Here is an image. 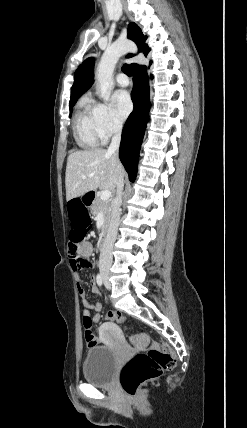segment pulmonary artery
<instances>
[{"label":"pulmonary artery","mask_w":247,"mask_h":428,"mask_svg":"<svg viewBox=\"0 0 247 428\" xmlns=\"http://www.w3.org/2000/svg\"><path fill=\"white\" fill-rule=\"evenodd\" d=\"M116 81H117V83H118L120 86H122V87H126V86H128V85H129V79H128V77H127L125 74H123V73H119V74L116 76Z\"/></svg>","instance_id":"e3ab8cb5"}]
</instances>
